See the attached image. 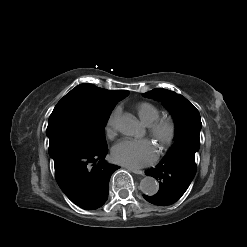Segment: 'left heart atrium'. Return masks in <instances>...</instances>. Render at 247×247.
<instances>
[{
  "label": "left heart atrium",
  "mask_w": 247,
  "mask_h": 247,
  "mask_svg": "<svg viewBox=\"0 0 247 247\" xmlns=\"http://www.w3.org/2000/svg\"><path fill=\"white\" fill-rule=\"evenodd\" d=\"M156 156V147L146 139H124L112 148L113 160L131 168L147 166L155 161Z\"/></svg>",
  "instance_id": "39dd6f15"
}]
</instances>
